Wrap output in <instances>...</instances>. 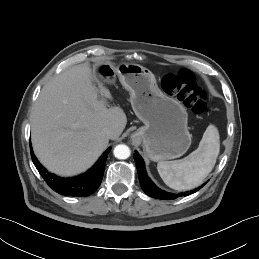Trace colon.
<instances>
[{
  "instance_id": "colon-1",
  "label": "colon",
  "mask_w": 259,
  "mask_h": 259,
  "mask_svg": "<svg viewBox=\"0 0 259 259\" xmlns=\"http://www.w3.org/2000/svg\"><path fill=\"white\" fill-rule=\"evenodd\" d=\"M162 88L167 94L176 96L194 114L203 116L209 114L210 102L192 72L180 70L164 75Z\"/></svg>"
}]
</instances>
